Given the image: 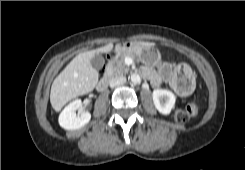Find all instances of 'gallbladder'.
Segmentation results:
<instances>
[{"label": "gallbladder", "mask_w": 245, "mask_h": 170, "mask_svg": "<svg viewBox=\"0 0 245 170\" xmlns=\"http://www.w3.org/2000/svg\"><path fill=\"white\" fill-rule=\"evenodd\" d=\"M104 63L105 60L100 54H95L91 59V66L96 70H100L104 66Z\"/></svg>", "instance_id": "1"}]
</instances>
